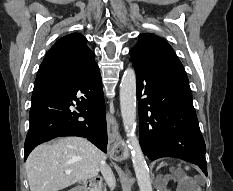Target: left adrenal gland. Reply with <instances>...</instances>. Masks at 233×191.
<instances>
[{"mask_svg": "<svg viewBox=\"0 0 233 191\" xmlns=\"http://www.w3.org/2000/svg\"><path fill=\"white\" fill-rule=\"evenodd\" d=\"M160 167H161V165L157 167V170H158Z\"/></svg>", "mask_w": 233, "mask_h": 191, "instance_id": "a2214340", "label": "left adrenal gland"}]
</instances>
